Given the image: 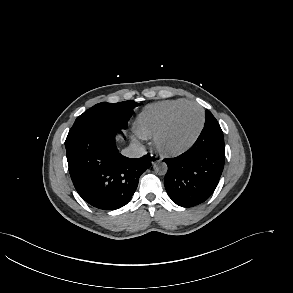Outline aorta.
<instances>
[{
    "mask_svg": "<svg viewBox=\"0 0 293 293\" xmlns=\"http://www.w3.org/2000/svg\"><path fill=\"white\" fill-rule=\"evenodd\" d=\"M168 167L164 162H156L154 164V171L158 175H165L167 173Z\"/></svg>",
    "mask_w": 293,
    "mask_h": 293,
    "instance_id": "obj_1",
    "label": "aorta"
}]
</instances>
